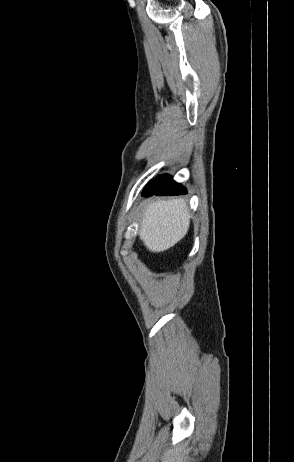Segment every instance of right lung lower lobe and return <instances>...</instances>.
<instances>
[{"mask_svg":"<svg viewBox=\"0 0 294 462\" xmlns=\"http://www.w3.org/2000/svg\"><path fill=\"white\" fill-rule=\"evenodd\" d=\"M186 189L174 182L169 175H162L151 181L143 191V196L151 195H181Z\"/></svg>","mask_w":294,"mask_h":462,"instance_id":"1","label":"right lung lower lobe"}]
</instances>
